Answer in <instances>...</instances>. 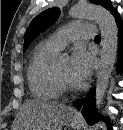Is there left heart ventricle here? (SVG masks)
Here are the masks:
<instances>
[{
	"label": "left heart ventricle",
	"instance_id": "left-heart-ventricle-1",
	"mask_svg": "<svg viewBox=\"0 0 123 130\" xmlns=\"http://www.w3.org/2000/svg\"><path fill=\"white\" fill-rule=\"evenodd\" d=\"M56 70L60 77L70 86H76L69 75V63L68 62H63L60 63L56 66Z\"/></svg>",
	"mask_w": 123,
	"mask_h": 130
}]
</instances>
